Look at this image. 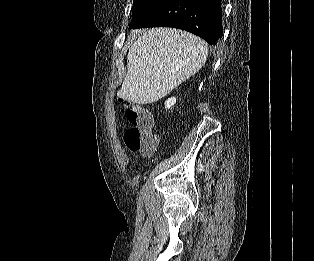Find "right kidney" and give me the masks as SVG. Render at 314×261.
Segmentation results:
<instances>
[{
	"label": "right kidney",
	"mask_w": 314,
	"mask_h": 261,
	"mask_svg": "<svg viewBox=\"0 0 314 261\" xmlns=\"http://www.w3.org/2000/svg\"><path fill=\"white\" fill-rule=\"evenodd\" d=\"M176 103V98L175 97H171L169 98L166 102H165V108L166 109H170L172 108Z\"/></svg>",
	"instance_id": "1"
}]
</instances>
